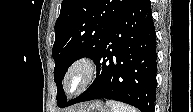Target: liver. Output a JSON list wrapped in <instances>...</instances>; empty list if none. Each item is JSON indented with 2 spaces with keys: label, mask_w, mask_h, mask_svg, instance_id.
Here are the masks:
<instances>
[{
  "label": "liver",
  "mask_w": 193,
  "mask_h": 112,
  "mask_svg": "<svg viewBox=\"0 0 193 112\" xmlns=\"http://www.w3.org/2000/svg\"><path fill=\"white\" fill-rule=\"evenodd\" d=\"M84 104H79L76 107L70 109V111L75 112L79 107H82Z\"/></svg>",
  "instance_id": "1"
}]
</instances>
